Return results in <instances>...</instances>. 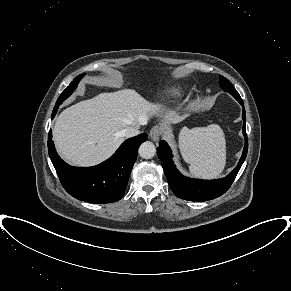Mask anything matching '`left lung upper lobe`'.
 Wrapping results in <instances>:
<instances>
[{
	"instance_id": "1",
	"label": "left lung upper lobe",
	"mask_w": 291,
	"mask_h": 291,
	"mask_svg": "<svg viewBox=\"0 0 291 291\" xmlns=\"http://www.w3.org/2000/svg\"><path fill=\"white\" fill-rule=\"evenodd\" d=\"M219 85L224 91L232 94L234 97L240 96L238 92L236 91V89L234 88V86L232 85V83L221 75H220Z\"/></svg>"
}]
</instances>
